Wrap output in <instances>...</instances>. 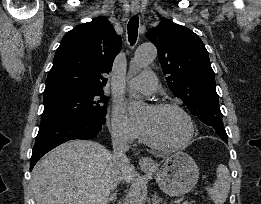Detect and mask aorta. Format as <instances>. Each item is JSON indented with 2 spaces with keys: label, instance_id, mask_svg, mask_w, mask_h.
<instances>
[{
  "label": "aorta",
  "instance_id": "aorta-1",
  "mask_svg": "<svg viewBox=\"0 0 261 204\" xmlns=\"http://www.w3.org/2000/svg\"><path fill=\"white\" fill-rule=\"evenodd\" d=\"M157 50L153 44L147 43L139 46L135 51L132 65L136 68L148 66L156 57ZM145 104L140 99L131 98L128 104V112L132 118H137L143 114ZM128 204H143V194L141 185H135L129 193Z\"/></svg>",
  "mask_w": 261,
  "mask_h": 204
}]
</instances>
